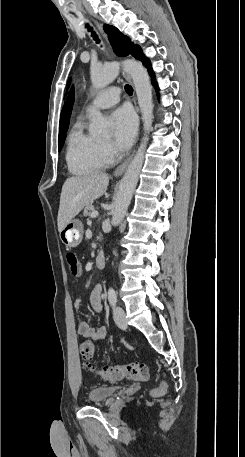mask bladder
<instances>
[{
    "label": "bladder",
    "instance_id": "obj_1",
    "mask_svg": "<svg viewBox=\"0 0 245 457\" xmlns=\"http://www.w3.org/2000/svg\"><path fill=\"white\" fill-rule=\"evenodd\" d=\"M117 390V387H101L95 386L89 394V402L91 404L102 403L112 397Z\"/></svg>",
    "mask_w": 245,
    "mask_h": 457
}]
</instances>
